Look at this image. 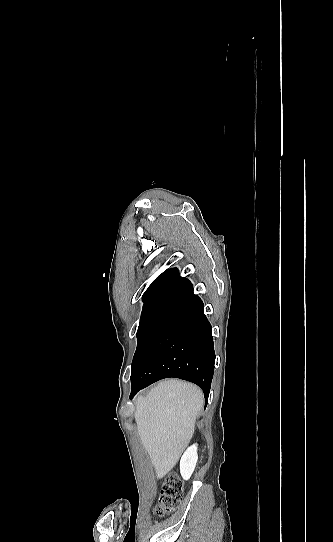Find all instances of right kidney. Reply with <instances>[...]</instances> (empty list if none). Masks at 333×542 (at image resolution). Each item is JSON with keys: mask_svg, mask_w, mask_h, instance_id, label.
Wrapping results in <instances>:
<instances>
[{"mask_svg": "<svg viewBox=\"0 0 333 542\" xmlns=\"http://www.w3.org/2000/svg\"><path fill=\"white\" fill-rule=\"evenodd\" d=\"M197 444L187 448L180 460V474L183 480H190L197 464Z\"/></svg>", "mask_w": 333, "mask_h": 542, "instance_id": "obj_1", "label": "right kidney"}]
</instances>
